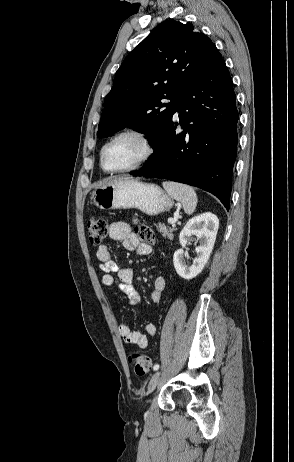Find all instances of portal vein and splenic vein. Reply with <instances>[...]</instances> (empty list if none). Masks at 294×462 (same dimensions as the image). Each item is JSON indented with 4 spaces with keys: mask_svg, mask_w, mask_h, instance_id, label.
Listing matches in <instances>:
<instances>
[{
    "mask_svg": "<svg viewBox=\"0 0 294 462\" xmlns=\"http://www.w3.org/2000/svg\"><path fill=\"white\" fill-rule=\"evenodd\" d=\"M176 222H177L176 218H169L168 219V223L172 224L173 226H175Z\"/></svg>",
    "mask_w": 294,
    "mask_h": 462,
    "instance_id": "portal-vein-and-splenic-vein-1",
    "label": "portal vein and splenic vein"
}]
</instances>
